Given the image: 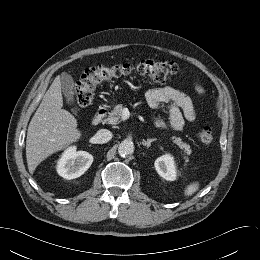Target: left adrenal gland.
I'll return each mask as SVG.
<instances>
[{
    "label": "left adrenal gland",
    "instance_id": "a2214340",
    "mask_svg": "<svg viewBox=\"0 0 260 260\" xmlns=\"http://www.w3.org/2000/svg\"><path fill=\"white\" fill-rule=\"evenodd\" d=\"M155 141H156L155 138H154V139H147V141L143 140V141H142V144H143L144 146H146L147 148H149L150 145H151V143H152V142H155Z\"/></svg>",
    "mask_w": 260,
    "mask_h": 260
}]
</instances>
